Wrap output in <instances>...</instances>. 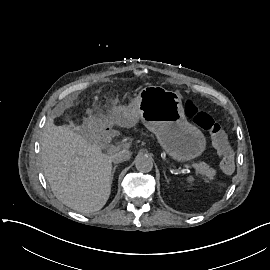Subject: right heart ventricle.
<instances>
[{"instance_id": "obj_1", "label": "right heart ventricle", "mask_w": 270, "mask_h": 270, "mask_svg": "<svg viewBox=\"0 0 270 270\" xmlns=\"http://www.w3.org/2000/svg\"><path fill=\"white\" fill-rule=\"evenodd\" d=\"M134 165H135V168H136V169H138V167L136 166V164H135V163H134Z\"/></svg>"}]
</instances>
